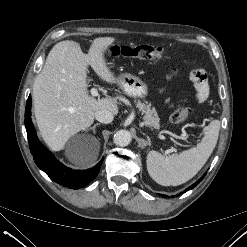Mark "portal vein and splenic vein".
I'll use <instances>...</instances> for the list:
<instances>
[{"mask_svg":"<svg viewBox=\"0 0 247 247\" xmlns=\"http://www.w3.org/2000/svg\"><path fill=\"white\" fill-rule=\"evenodd\" d=\"M90 92H91V95L94 97L99 96L98 90L95 87L91 88ZM171 151H175V149L173 148L171 149Z\"/></svg>","mask_w":247,"mask_h":247,"instance_id":"18ae733b","label":"portal vein and splenic vein"}]
</instances>
